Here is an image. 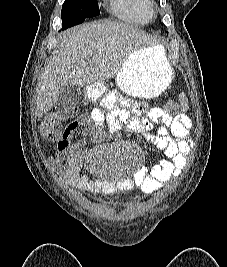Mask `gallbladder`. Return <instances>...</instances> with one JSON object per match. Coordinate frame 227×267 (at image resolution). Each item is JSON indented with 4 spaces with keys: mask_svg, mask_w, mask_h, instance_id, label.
I'll return each mask as SVG.
<instances>
[{
    "mask_svg": "<svg viewBox=\"0 0 227 267\" xmlns=\"http://www.w3.org/2000/svg\"><path fill=\"white\" fill-rule=\"evenodd\" d=\"M81 96L82 91L79 87L74 85L65 86L60 90L54 107L59 113L65 114L76 107Z\"/></svg>",
    "mask_w": 227,
    "mask_h": 267,
    "instance_id": "bac80fb5",
    "label": "gallbladder"
}]
</instances>
